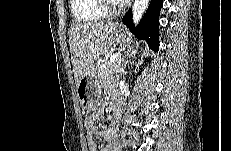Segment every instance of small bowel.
<instances>
[{
	"mask_svg": "<svg viewBox=\"0 0 231 151\" xmlns=\"http://www.w3.org/2000/svg\"><path fill=\"white\" fill-rule=\"evenodd\" d=\"M108 91L113 93V89L111 87H107ZM117 98V97H114ZM103 109L98 108L94 112H92L85 120V127L87 130V142L89 151H97V144L94 140V135L97 133L95 128V122L102 118ZM118 130L119 123L118 119H114L110 127L101 133L104 139L107 142V145L101 151H117L118 147Z\"/></svg>",
	"mask_w": 231,
	"mask_h": 151,
	"instance_id": "obj_1",
	"label": "small bowel"
}]
</instances>
